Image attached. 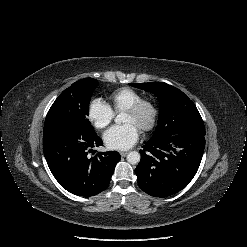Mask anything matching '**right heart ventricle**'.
<instances>
[{
	"instance_id": "1",
	"label": "right heart ventricle",
	"mask_w": 247,
	"mask_h": 247,
	"mask_svg": "<svg viewBox=\"0 0 247 247\" xmlns=\"http://www.w3.org/2000/svg\"><path fill=\"white\" fill-rule=\"evenodd\" d=\"M142 98V94L132 88L122 87L113 91L109 97V106L113 111L120 112Z\"/></svg>"
}]
</instances>
